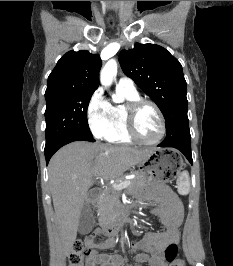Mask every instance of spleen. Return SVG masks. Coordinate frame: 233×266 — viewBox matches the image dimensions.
Here are the masks:
<instances>
[{"mask_svg":"<svg viewBox=\"0 0 233 266\" xmlns=\"http://www.w3.org/2000/svg\"><path fill=\"white\" fill-rule=\"evenodd\" d=\"M178 193L187 195L190 191V178L187 171H183L177 180Z\"/></svg>","mask_w":233,"mask_h":266,"instance_id":"obj_1","label":"spleen"}]
</instances>
